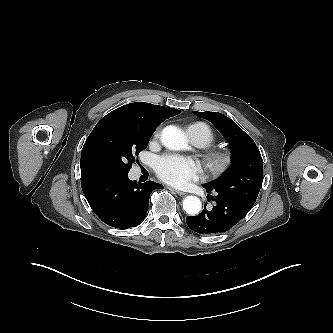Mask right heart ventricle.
Wrapping results in <instances>:
<instances>
[{"instance_id":"1","label":"right heart ventricle","mask_w":333,"mask_h":333,"mask_svg":"<svg viewBox=\"0 0 333 333\" xmlns=\"http://www.w3.org/2000/svg\"><path fill=\"white\" fill-rule=\"evenodd\" d=\"M188 135L190 139H198L202 146H208L215 140L212 129L203 122H195L188 127Z\"/></svg>"}]
</instances>
